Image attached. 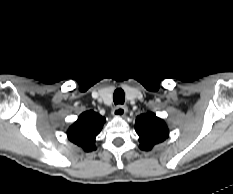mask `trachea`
Returning a JSON list of instances; mask_svg holds the SVG:
<instances>
[{"label":"trachea","mask_w":233,"mask_h":194,"mask_svg":"<svg viewBox=\"0 0 233 194\" xmlns=\"http://www.w3.org/2000/svg\"><path fill=\"white\" fill-rule=\"evenodd\" d=\"M113 101L115 105L124 103V91L121 88L114 91Z\"/></svg>","instance_id":"1"}]
</instances>
